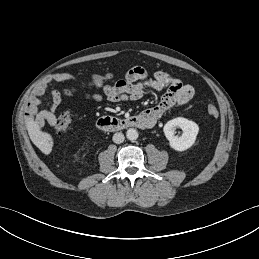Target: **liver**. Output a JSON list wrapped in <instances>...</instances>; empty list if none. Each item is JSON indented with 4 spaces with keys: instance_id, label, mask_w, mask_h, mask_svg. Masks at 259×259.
Instances as JSON below:
<instances>
[{
    "instance_id": "1",
    "label": "liver",
    "mask_w": 259,
    "mask_h": 259,
    "mask_svg": "<svg viewBox=\"0 0 259 259\" xmlns=\"http://www.w3.org/2000/svg\"><path fill=\"white\" fill-rule=\"evenodd\" d=\"M26 128L34 145H36L45 155L50 154L54 144L52 135L42 131L38 122L34 121L33 118H27Z\"/></svg>"
}]
</instances>
